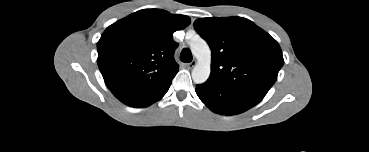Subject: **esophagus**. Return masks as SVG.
Masks as SVG:
<instances>
[{"label": "esophagus", "instance_id": "34e87169", "mask_svg": "<svg viewBox=\"0 0 369 152\" xmlns=\"http://www.w3.org/2000/svg\"><path fill=\"white\" fill-rule=\"evenodd\" d=\"M195 65H196V61H195V60H193L192 62H190V63H188V64H187V67H188L189 69H191V68H193Z\"/></svg>", "mask_w": 369, "mask_h": 152}]
</instances>
